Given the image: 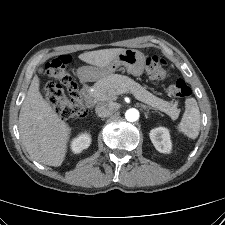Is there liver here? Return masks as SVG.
<instances>
[{
	"label": "liver",
	"instance_id": "6515ba94",
	"mask_svg": "<svg viewBox=\"0 0 225 225\" xmlns=\"http://www.w3.org/2000/svg\"><path fill=\"white\" fill-rule=\"evenodd\" d=\"M124 50L103 49L82 53L78 57L88 64L103 68ZM39 85V78L35 75L19 114L20 137L33 160L59 167L65 159L71 128L43 98Z\"/></svg>",
	"mask_w": 225,
	"mask_h": 225
}]
</instances>
